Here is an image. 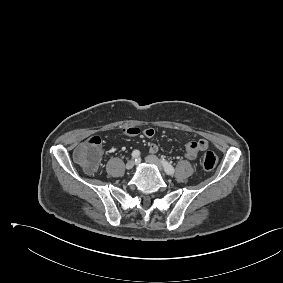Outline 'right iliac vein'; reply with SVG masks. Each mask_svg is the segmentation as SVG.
I'll return each mask as SVG.
<instances>
[{"label":"right iliac vein","instance_id":"right-iliac-vein-1","mask_svg":"<svg viewBox=\"0 0 283 283\" xmlns=\"http://www.w3.org/2000/svg\"><path fill=\"white\" fill-rule=\"evenodd\" d=\"M135 165V161L134 160H129L127 163H126V169L127 170H130L134 167Z\"/></svg>","mask_w":283,"mask_h":283}]
</instances>
